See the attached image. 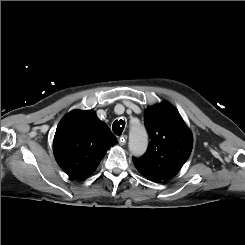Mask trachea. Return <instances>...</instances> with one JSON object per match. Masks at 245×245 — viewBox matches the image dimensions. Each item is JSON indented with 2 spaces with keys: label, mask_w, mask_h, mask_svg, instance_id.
Listing matches in <instances>:
<instances>
[{
  "label": "trachea",
  "mask_w": 245,
  "mask_h": 245,
  "mask_svg": "<svg viewBox=\"0 0 245 245\" xmlns=\"http://www.w3.org/2000/svg\"><path fill=\"white\" fill-rule=\"evenodd\" d=\"M125 127V121L120 119L119 121H114L112 125V130L116 135H121Z\"/></svg>",
  "instance_id": "1"
}]
</instances>
